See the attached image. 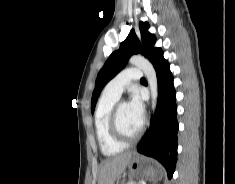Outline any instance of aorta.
Returning a JSON list of instances; mask_svg holds the SVG:
<instances>
[{"mask_svg":"<svg viewBox=\"0 0 235 184\" xmlns=\"http://www.w3.org/2000/svg\"><path fill=\"white\" fill-rule=\"evenodd\" d=\"M129 64H132L135 68H140V70L144 72L150 86L151 108L153 112H155L158 98V82L156 72L152 64H150L146 58H142V56H132L129 60Z\"/></svg>","mask_w":235,"mask_h":184,"instance_id":"aorta-1","label":"aorta"}]
</instances>
